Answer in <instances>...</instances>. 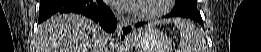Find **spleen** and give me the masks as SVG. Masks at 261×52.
Here are the masks:
<instances>
[{"mask_svg": "<svg viewBox=\"0 0 261 52\" xmlns=\"http://www.w3.org/2000/svg\"><path fill=\"white\" fill-rule=\"evenodd\" d=\"M176 26L180 30L183 52H197L200 49L199 30L187 20H177Z\"/></svg>", "mask_w": 261, "mask_h": 52, "instance_id": "1", "label": "spleen"}]
</instances>
